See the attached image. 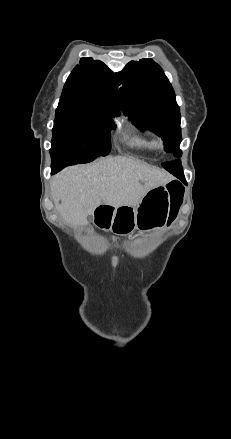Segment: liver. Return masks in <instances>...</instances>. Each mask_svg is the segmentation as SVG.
<instances>
[{"instance_id":"1","label":"liver","mask_w":231,"mask_h":439,"mask_svg":"<svg viewBox=\"0 0 231 439\" xmlns=\"http://www.w3.org/2000/svg\"><path fill=\"white\" fill-rule=\"evenodd\" d=\"M172 179L164 169L118 156L90 166L67 167L53 178L51 194L60 216L77 227L87 224L99 205L135 207L149 190Z\"/></svg>"}]
</instances>
